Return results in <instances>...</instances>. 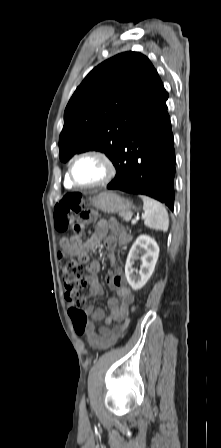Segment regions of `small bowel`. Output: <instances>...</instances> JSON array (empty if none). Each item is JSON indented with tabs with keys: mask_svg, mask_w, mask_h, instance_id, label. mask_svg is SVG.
Here are the masks:
<instances>
[{
	"mask_svg": "<svg viewBox=\"0 0 221 448\" xmlns=\"http://www.w3.org/2000/svg\"><path fill=\"white\" fill-rule=\"evenodd\" d=\"M131 239L132 236L117 222L100 218L92 236L86 242H82L79 236H74L71 239L64 237L60 240V247L69 255H79L85 258L89 250L103 242L112 256L119 246H124ZM99 270L100 263L96 260L90 261L86 268L87 284L92 296L103 294V288L97 277ZM107 282L109 287L115 290V296L108 301V314L106 315L103 309L95 308L92 305L85 310L86 314L90 315L85 332L87 341L92 347L99 349L111 347L117 342L129 323V311L133 309L134 305V295L132 290L125 285L120 268L114 269ZM114 321L124 323L111 328ZM96 322H104L98 331L95 327Z\"/></svg>",
	"mask_w": 221,
	"mask_h": 448,
	"instance_id": "obj_1",
	"label": "small bowel"
}]
</instances>
